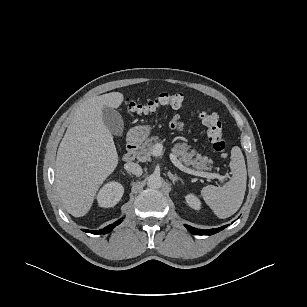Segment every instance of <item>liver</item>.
Listing matches in <instances>:
<instances>
[{
    "instance_id": "obj_1",
    "label": "liver",
    "mask_w": 307,
    "mask_h": 307,
    "mask_svg": "<svg viewBox=\"0 0 307 307\" xmlns=\"http://www.w3.org/2000/svg\"><path fill=\"white\" fill-rule=\"evenodd\" d=\"M123 100L120 92L86 100L75 112L59 145L56 189L65 209L74 217L87 214L99 187L118 164L113 136L103 122L102 109L118 108Z\"/></svg>"
}]
</instances>
